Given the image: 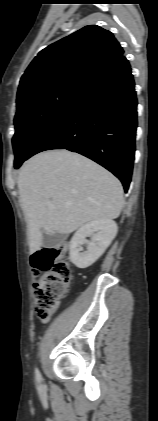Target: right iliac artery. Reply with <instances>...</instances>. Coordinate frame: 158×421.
I'll list each match as a JSON object with an SVG mask.
<instances>
[{
    "label": "right iliac artery",
    "instance_id": "1",
    "mask_svg": "<svg viewBox=\"0 0 158 421\" xmlns=\"http://www.w3.org/2000/svg\"><path fill=\"white\" fill-rule=\"evenodd\" d=\"M35 377H36V381L38 383H40V381H41V374H40V372H39V370L37 368L35 369Z\"/></svg>",
    "mask_w": 158,
    "mask_h": 421
}]
</instances>
